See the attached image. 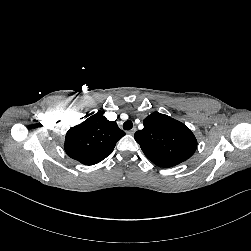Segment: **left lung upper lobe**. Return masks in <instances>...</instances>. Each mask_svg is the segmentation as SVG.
Instances as JSON below:
<instances>
[{"instance_id":"1","label":"left lung upper lobe","mask_w":251,"mask_h":251,"mask_svg":"<svg viewBox=\"0 0 251 251\" xmlns=\"http://www.w3.org/2000/svg\"><path fill=\"white\" fill-rule=\"evenodd\" d=\"M144 128L134 138L146 157L160 167H173L190 158L197 140L183 123L159 112H153L144 121Z\"/></svg>"}]
</instances>
